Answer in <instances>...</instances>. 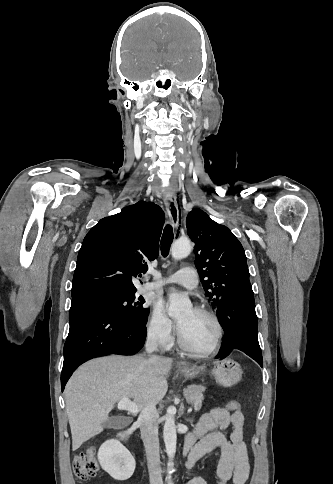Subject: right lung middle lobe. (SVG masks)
Returning a JSON list of instances; mask_svg holds the SVG:
<instances>
[{
  "instance_id": "dd1d6c3e",
  "label": "right lung middle lobe",
  "mask_w": 333,
  "mask_h": 484,
  "mask_svg": "<svg viewBox=\"0 0 333 484\" xmlns=\"http://www.w3.org/2000/svg\"><path fill=\"white\" fill-rule=\"evenodd\" d=\"M93 293L104 298L114 311L123 315L130 322L138 326L146 325L149 309L143 306L145 303L143 298L135 301L134 292L118 293L111 290H100Z\"/></svg>"
}]
</instances>
